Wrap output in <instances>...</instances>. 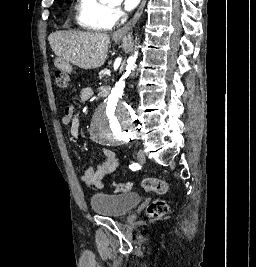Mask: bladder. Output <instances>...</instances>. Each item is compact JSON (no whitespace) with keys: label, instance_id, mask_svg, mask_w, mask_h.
<instances>
[{"label":"bladder","instance_id":"bladder-1","mask_svg":"<svg viewBox=\"0 0 256 267\" xmlns=\"http://www.w3.org/2000/svg\"><path fill=\"white\" fill-rule=\"evenodd\" d=\"M141 195H110L97 193L91 198L92 210L110 217H123L135 205L141 204Z\"/></svg>","mask_w":256,"mask_h":267}]
</instances>
